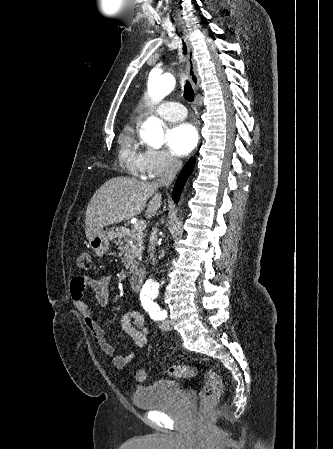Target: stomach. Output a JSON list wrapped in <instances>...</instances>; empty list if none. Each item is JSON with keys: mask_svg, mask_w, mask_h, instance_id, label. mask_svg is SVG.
Wrapping results in <instances>:
<instances>
[{"mask_svg": "<svg viewBox=\"0 0 333 449\" xmlns=\"http://www.w3.org/2000/svg\"><path fill=\"white\" fill-rule=\"evenodd\" d=\"M89 243L93 251L99 256H103L108 251L109 240L104 230L99 231L92 237Z\"/></svg>", "mask_w": 333, "mask_h": 449, "instance_id": "0dacf381", "label": "stomach"}]
</instances>
